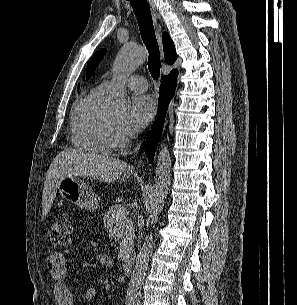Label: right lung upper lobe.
Segmentation results:
<instances>
[{
    "label": "right lung upper lobe",
    "mask_w": 297,
    "mask_h": 305,
    "mask_svg": "<svg viewBox=\"0 0 297 305\" xmlns=\"http://www.w3.org/2000/svg\"><path fill=\"white\" fill-rule=\"evenodd\" d=\"M163 50L166 62L170 65L173 64L177 58V54L175 52V46L166 32L163 33Z\"/></svg>",
    "instance_id": "cb5924a9"
}]
</instances>
